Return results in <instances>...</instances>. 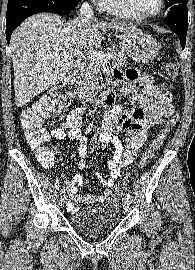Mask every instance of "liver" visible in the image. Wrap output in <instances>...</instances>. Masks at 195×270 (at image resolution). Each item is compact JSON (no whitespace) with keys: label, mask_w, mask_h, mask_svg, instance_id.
I'll list each match as a JSON object with an SVG mask.
<instances>
[{"label":"liver","mask_w":195,"mask_h":270,"mask_svg":"<svg viewBox=\"0 0 195 270\" xmlns=\"http://www.w3.org/2000/svg\"><path fill=\"white\" fill-rule=\"evenodd\" d=\"M108 29L138 30L117 22L85 23L79 18L64 22L50 13H38L26 19L11 37L17 107L63 81L74 59L89 50H97Z\"/></svg>","instance_id":"obj_1"}]
</instances>
